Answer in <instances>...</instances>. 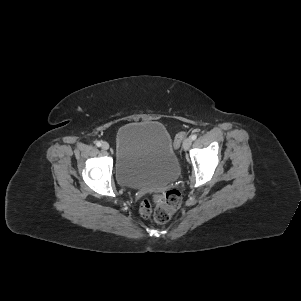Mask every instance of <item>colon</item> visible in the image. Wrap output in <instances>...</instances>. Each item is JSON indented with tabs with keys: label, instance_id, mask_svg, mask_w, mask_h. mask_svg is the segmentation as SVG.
Listing matches in <instances>:
<instances>
[{
	"label": "colon",
	"instance_id": "colon-1",
	"mask_svg": "<svg viewBox=\"0 0 301 301\" xmlns=\"http://www.w3.org/2000/svg\"><path fill=\"white\" fill-rule=\"evenodd\" d=\"M186 133L180 132L175 136L174 147H180ZM182 196L179 190L172 189L165 193L155 195L153 200L144 198L140 204V213L145 218L152 217L157 223H167L174 212L180 207Z\"/></svg>",
	"mask_w": 301,
	"mask_h": 301
}]
</instances>
